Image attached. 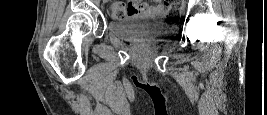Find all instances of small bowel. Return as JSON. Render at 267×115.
Listing matches in <instances>:
<instances>
[{
	"mask_svg": "<svg viewBox=\"0 0 267 115\" xmlns=\"http://www.w3.org/2000/svg\"><path fill=\"white\" fill-rule=\"evenodd\" d=\"M132 14H147V13H158L164 12V5L161 0H156L154 3L146 2H132L131 4Z\"/></svg>",
	"mask_w": 267,
	"mask_h": 115,
	"instance_id": "c3829d8e",
	"label": "small bowel"
}]
</instances>
